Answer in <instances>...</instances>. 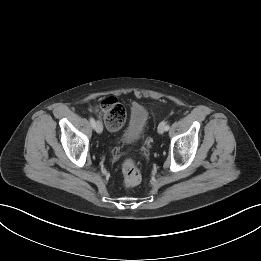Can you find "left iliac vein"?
Wrapping results in <instances>:
<instances>
[{
    "mask_svg": "<svg viewBox=\"0 0 261 261\" xmlns=\"http://www.w3.org/2000/svg\"><path fill=\"white\" fill-rule=\"evenodd\" d=\"M166 122H161L158 126V133L160 134H163L166 130H165V127H166Z\"/></svg>",
    "mask_w": 261,
    "mask_h": 261,
    "instance_id": "left-iliac-vein-1",
    "label": "left iliac vein"
}]
</instances>
